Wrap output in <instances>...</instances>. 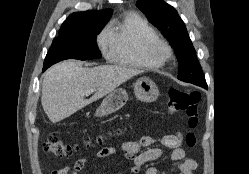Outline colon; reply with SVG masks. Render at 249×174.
<instances>
[{
	"label": "colon",
	"mask_w": 249,
	"mask_h": 174,
	"mask_svg": "<svg viewBox=\"0 0 249 174\" xmlns=\"http://www.w3.org/2000/svg\"><path fill=\"white\" fill-rule=\"evenodd\" d=\"M200 102V94L194 91H183L178 88H170L167 91V103L169 109L174 112H185L188 117V125L190 130L186 134V143L189 147L198 145V137L195 129L199 123L198 104ZM45 150L55 157H66L72 155L78 150V147L62 141L56 134L48 137L45 143Z\"/></svg>",
	"instance_id": "obj_1"
}]
</instances>
